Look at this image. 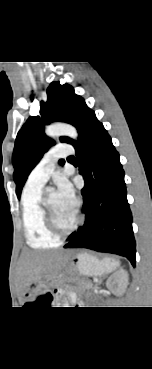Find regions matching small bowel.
<instances>
[{
  "instance_id": "c3829d8e",
  "label": "small bowel",
  "mask_w": 152,
  "mask_h": 369,
  "mask_svg": "<svg viewBox=\"0 0 152 369\" xmlns=\"http://www.w3.org/2000/svg\"><path fill=\"white\" fill-rule=\"evenodd\" d=\"M69 297H70V299H71L72 301H74V300H75V296H74V295H72V294H71Z\"/></svg>"
}]
</instances>
